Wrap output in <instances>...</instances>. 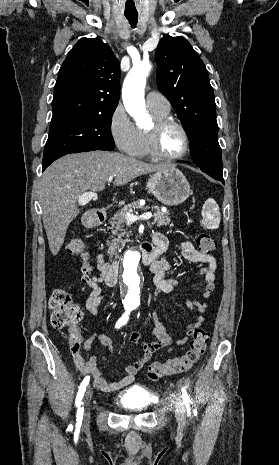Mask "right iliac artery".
<instances>
[{
  "label": "right iliac artery",
  "instance_id": "1",
  "mask_svg": "<svg viewBox=\"0 0 279 465\" xmlns=\"http://www.w3.org/2000/svg\"><path fill=\"white\" fill-rule=\"evenodd\" d=\"M125 310H126L125 313L117 321L116 328H120L122 325L127 323L128 318H129V314L133 310V308L130 307V306H126ZM89 380H90V376H87V377L84 378V380L82 381V383H81V385L79 387V390H78V393H77V396H76L75 406L78 407V410H77V423H80V424L82 422L83 413H84V408L81 406L83 404L82 403V398L84 396V392L86 391V387H87V385L89 383Z\"/></svg>",
  "mask_w": 279,
  "mask_h": 465
}]
</instances>
